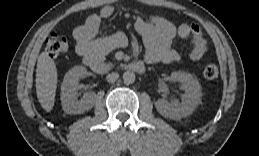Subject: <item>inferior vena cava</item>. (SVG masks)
I'll return each mask as SVG.
<instances>
[{
  "label": "inferior vena cava",
  "instance_id": "602c4592",
  "mask_svg": "<svg viewBox=\"0 0 259 156\" xmlns=\"http://www.w3.org/2000/svg\"><path fill=\"white\" fill-rule=\"evenodd\" d=\"M119 77V74L117 72L110 73L106 76V80L109 83H114Z\"/></svg>",
  "mask_w": 259,
  "mask_h": 156
}]
</instances>
